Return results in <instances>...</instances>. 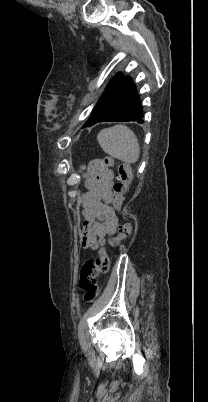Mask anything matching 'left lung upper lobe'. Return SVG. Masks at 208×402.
Returning <instances> with one entry per match:
<instances>
[{"label": "left lung upper lobe", "mask_w": 208, "mask_h": 402, "mask_svg": "<svg viewBox=\"0 0 208 402\" xmlns=\"http://www.w3.org/2000/svg\"><path fill=\"white\" fill-rule=\"evenodd\" d=\"M130 78H121L119 75L114 77L109 83L106 92L94 107L93 113L84 126H89L99 120L104 114L117 104L132 87Z\"/></svg>", "instance_id": "left-lung-upper-lobe-1"}]
</instances>
